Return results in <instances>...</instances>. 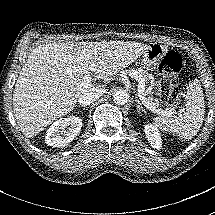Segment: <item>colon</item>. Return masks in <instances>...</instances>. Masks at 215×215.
Returning a JSON list of instances; mask_svg holds the SVG:
<instances>
[{
  "instance_id": "colon-1",
  "label": "colon",
  "mask_w": 215,
  "mask_h": 215,
  "mask_svg": "<svg viewBox=\"0 0 215 215\" xmlns=\"http://www.w3.org/2000/svg\"><path fill=\"white\" fill-rule=\"evenodd\" d=\"M182 68V58L177 52L170 51L162 59L159 72L162 78L158 82L160 100L167 106L177 107L181 96L177 87V74Z\"/></svg>"
}]
</instances>
